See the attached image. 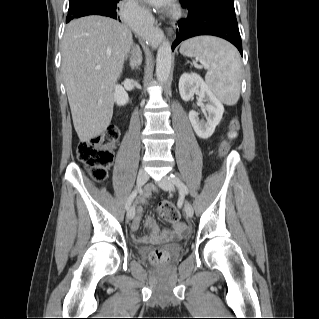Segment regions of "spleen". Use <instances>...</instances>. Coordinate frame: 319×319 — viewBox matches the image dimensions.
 Returning a JSON list of instances; mask_svg holds the SVG:
<instances>
[{"label": "spleen", "instance_id": "obj_1", "mask_svg": "<svg viewBox=\"0 0 319 319\" xmlns=\"http://www.w3.org/2000/svg\"><path fill=\"white\" fill-rule=\"evenodd\" d=\"M180 53L194 57L208 69L205 82L211 92L224 104L234 105L240 96L241 61L235 47L211 36L184 41Z\"/></svg>", "mask_w": 319, "mask_h": 319}]
</instances>
